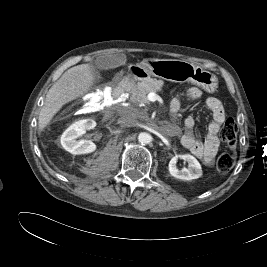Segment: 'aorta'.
I'll return each mask as SVG.
<instances>
[{
  "mask_svg": "<svg viewBox=\"0 0 267 267\" xmlns=\"http://www.w3.org/2000/svg\"><path fill=\"white\" fill-rule=\"evenodd\" d=\"M152 140V137L149 133H146V132H142L139 134L138 136V141L141 143V144H148L150 143Z\"/></svg>",
  "mask_w": 267,
  "mask_h": 267,
  "instance_id": "762f6f07",
  "label": "aorta"
}]
</instances>
